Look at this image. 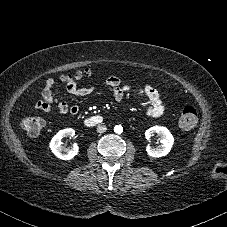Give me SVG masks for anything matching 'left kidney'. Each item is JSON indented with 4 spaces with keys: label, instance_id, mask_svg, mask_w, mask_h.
Segmentation results:
<instances>
[{
    "label": "left kidney",
    "instance_id": "1",
    "mask_svg": "<svg viewBox=\"0 0 227 227\" xmlns=\"http://www.w3.org/2000/svg\"><path fill=\"white\" fill-rule=\"evenodd\" d=\"M154 134H158L161 137V145L156 148L148 145L146 147L147 154L151 157H162L167 155L174 144L173 135L166 127L153 126L145 132V137L149 140Z\"/></svg>",
    "mask_w": 227,
    "mask_h": 227
}]
</instances>
